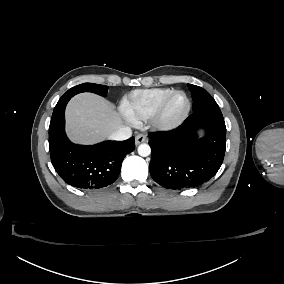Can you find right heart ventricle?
Listing matches in <instances>:
<instances>
[{"label":"right heart ventricle","mask_w":284,"mask_h":284,"mask_svg":"<svg viewBox=\"0 0 284 284\" xmlns=\"http://www.w3.org/2000/svg\"><path fill=\"white\" fill-rule=\"evenodd\" d=\"M173 90L174 88L171 87H154L130 91L121 99V113L132 123L145 121L161 99Z\"/></svg>","instance_id":"1"}]
</instances>
